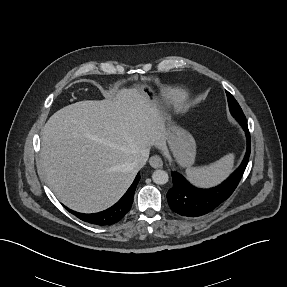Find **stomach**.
<instances>
[{
  "mask_svg": "<svg viewBox=\"0 0 287 287\" xmlns=\"http://www.w3.org/2000/svg\"><path fill=\"white\" fill-rule=\"evenodd\" d=\"M136 89L146 96L151 105L163 117L164 113L160 106L157 89L147 82L136 85ZM167 133V142L177 162L184 167L191 166L196 154V144L192 135L176 125H171Z\"/></svg>",
  "mask_w": 287,
  "mask_h": 287,
  "instance_id": "obj_1",
  "label": "stomach"
}]
</instances>
